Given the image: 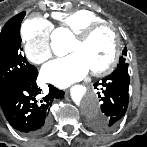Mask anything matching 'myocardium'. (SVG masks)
I'll list each match as a JSON object with an SVG mask.
<instances>
[{
    "label": "myocardium",
    "instance_id": "f54148a6",
    "mask_svg": "<svg viewBox=\"0 0 147 147\" xmlns=\"http://www.w3.org/2000/svg\"><path fill=\"white\" fill-rule=\"evenodd\" d=\"M101 30H110L113 33L114 39H115V47H114L113 56L110 59V61L103 68L99 70H92L90 72L93 76H96V77L105 76L111 73L115 69V67L117 66L120 60V56L122 52V43H121V38L117 29L110 23L102 22V23L94 24L88 27L81 33L75 35V38H74V40L78 42L85 43L89 41L97 32Z\"/></svg>",
    "mask_w": 147,
    "mask_h": 147
}]
</instances>
